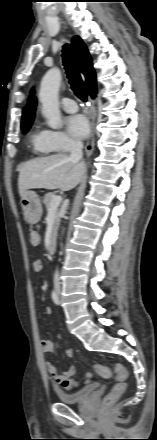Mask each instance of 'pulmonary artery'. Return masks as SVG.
I'll return each instance as SVG.
<instances>
[{
	"label": "pulmonary artery",
	"instance_id": "obj_1",
	"mask_svg": "<svg viewBox=\"0 0 157 440\" xmlns=\"http://www.w3.org/2000/svg\"><path fill=\"white\" fill-rule=\"evenodd\" d=\"M61 106L66 112L69 113H74L78 110L76 102L68 98H64L61 100Z\"/></svg>",
	"mask_w": 157,
	"mask_h": 440
}]
</instances>
